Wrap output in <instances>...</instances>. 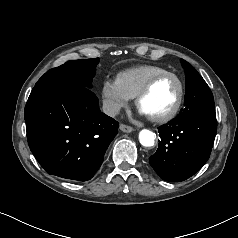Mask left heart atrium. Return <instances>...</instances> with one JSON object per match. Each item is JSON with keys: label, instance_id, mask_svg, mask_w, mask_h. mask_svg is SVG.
Here are the masks:
<instances>
[{"label": "left heart atrium", "instance_id": "1", "mask_svg": "<svg viewBox=\"0 0 238 238\" xmlns=\"http://www.w3.org/2000/svg\"><path fill=\"white\" fill-rule=\"evenodd\" d=\"M140 110V109H139ZM140 113L143 114V115H146L143 111L140 110Z\"/></svg>", "mask_w": 238, "mask_h": 238}]
</instances>
